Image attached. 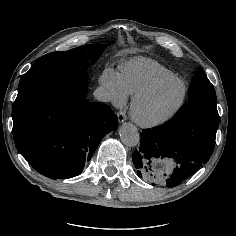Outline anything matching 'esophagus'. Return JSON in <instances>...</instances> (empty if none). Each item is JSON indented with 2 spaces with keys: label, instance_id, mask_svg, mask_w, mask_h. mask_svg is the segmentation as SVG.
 Returning <instances> with one entry per match:
<instances>
[{
  "label": "esophagus",
  "instance_id": "esophagus-1",
  "mask_svg": "<svg viewBox=\"0 0 236 236\" xmlns=\"http://www.w3.org/2000/svg\"><path fill=\"white\" fill-rule=\"evenodd\" d=\"M126 119H127V117H126V112H125L124 110H120V111L118 112V121H119L120 123H122V122L126 121Z\"/></svg>",
  "mask_w": 236,
  "mask_h": 236
}]
</instances>
